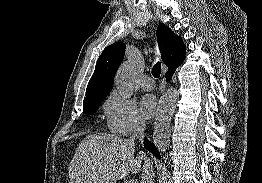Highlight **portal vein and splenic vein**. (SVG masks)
<instances>
[{"label": "portal vein and splenic vein", "instance_id": "18ae733b", "mask_svg": "<svg viewBox=\"0 0 262 183\" xmlns=\"http://www.w3.org/2000/svg\"><path fill=\"white\" fill-rule=\"evenodd\" d=\"M129 183H136L134 180H130Z\"/></svg>", "mask_w": 262, "mask_h": 183}]
</instances>
